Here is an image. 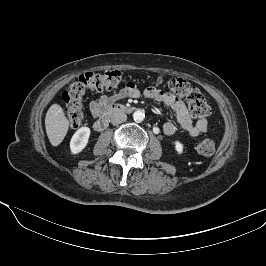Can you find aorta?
Wrapping results in <instances>:
<instances>
[{
    "label": "aorta",
    "instance_id": "762f6f07",
    "mask_svg": "<svg viewBox=\"0 0 266 266\" xmlns=\"http://www.w3.org/2000/svg\"><path fill=\"white\" fill-rule=\"evenodd\" d=\"M144 118H145V114L141 110H136L133 113V119L136 122H142L144 120Z\"/></svg>",
    "mask_w": 266,
    "mask_h": 266
}]
</instances>
